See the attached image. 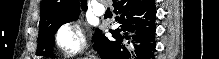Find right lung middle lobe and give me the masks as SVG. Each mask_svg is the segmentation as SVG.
I'll return each mask as SVG.
<instances>
[{
  "label": "right lung middle lobe",
  "instance_id": "obj_1",
  "mask_svg": "<svg viewBox=\"0 0 219 59\" xmlns=\"http://www.w3.org/2000/svg\"><path fill=\"white\" fill-rule=\"evenodd\" d=\"M77 18L78 15L67 19L55 21L47 24L43 28H39L38 47H37L36 55L37 56L51 55L54 45V34L58 30V28L67 22L76 20ZM94 39L95 36L93 38V41Z\"/></svg>",
  "mask_w": 219,
  "mask_h": 59
}]
</instances>
